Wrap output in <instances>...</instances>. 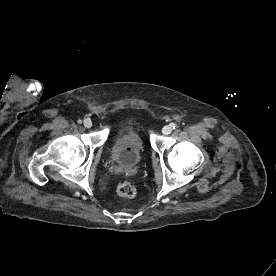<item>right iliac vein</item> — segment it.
<instances>
[{"mask_svg": "<svg viewBox=\"0 0 276 276\" xmlns=\"http://www.w3.org/2000/svg\"><path fill=\"white\" fill-rule=\"evenodd\" d=\"M83 125H84L86 128H90V127H92V121H91L89 118H87V119H85V120L83 121Z\"/></svg>", "mask_w": 276, "mask_h": 276, "instance_id": "obj_1", "label": "right iliac vein"}]
</instances>
